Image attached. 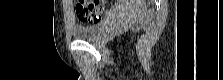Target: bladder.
Here are the masks:
<instances>
[{"label":"bladder","mask_w":223,"mask_h":80,"mask_svg":"<svg viewBox=\"0 0 223 80\" xmlns=\"http://www.w3.org/2000/svg\"><path fill=\"white\" fill-rule=\"evenodd\" d=\"M106 21L92 25H78L73 29V37L78 40L96 41L104 33Z\"/></svg>","instance_id":"1"}]
</instances>
